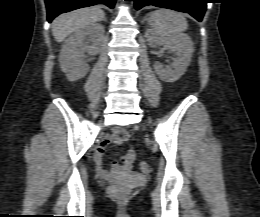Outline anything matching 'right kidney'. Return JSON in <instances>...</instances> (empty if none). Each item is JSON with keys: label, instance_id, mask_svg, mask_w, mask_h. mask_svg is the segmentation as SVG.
<instances>
[{"label": "right kidney", "instance_id": "ca27d5eb", "mask_svg": "<svg viewBox=\"0 0 260 217\" xmlns=\"http://www.w3.org/2000/svg\"><path fill=\"white\" fill-rule=\"evenodd\" d=\"M104 38V26L99 23L88 24L75 31L65 41L60 52V66L70 81L83 78L89 71L84 54L96 55ZM92 44L89 45L88 41Z\"/></svg>", "mask_w": 260, "mask_h": 217}]
</instances>
